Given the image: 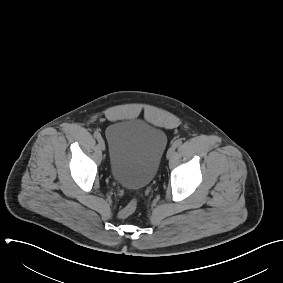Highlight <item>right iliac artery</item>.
Masks as SVG:
<instances>
[{
  "label": "right iliac artery",
  "mask_w": 283,
  "mask_h": 283,
  "mask_svg": "<svg viewBox=\"0 0 283 283\" xmlns=\"http://www.w3.org/2000/svg\"><path fill=\"white\" fill-rule=\"evenodd\" d=\"M94 137H95L97 140H99V139L101 138V135H100L99 132H95V133H94Z\"/></svg>",
  "instance_id": "1"
}]
</instances>
